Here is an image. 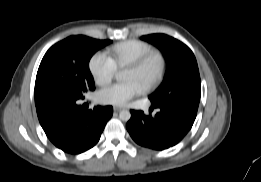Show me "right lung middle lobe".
<instances>
[{
    "label": "right lung middle lobe",
    "instance_id": "1",
    "mask_svg": "<svg viewBox=\"0 0 261 182\" xmlns=\"http://www.w3.org/2000/svg\"><path fill=\"white\" fill-rule=\"evenodd\" d=\"M111 42L78 35L53 45L44 55L37 72L35 103L55 96L77 100L88 90H94L90 58Z\"/></svg>",
    "mask_w": 261,
    "mask_h": 182
}]
</instances>
